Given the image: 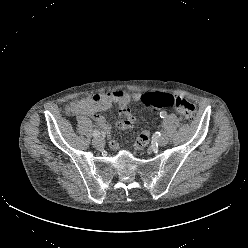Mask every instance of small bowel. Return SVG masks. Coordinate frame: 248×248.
<instances>
[{
	"label": "small bowel",
	"mask_w": 248,
	"mask_h": 248,
	"mask_svg": "<svg viewBox=\"0 0 248 248\" xmlns=\"http://www.w3.org/2000/svg\"><path fill=\"white\" fill-rule=\"evenodd\" d=\"M141 99L142 95L138 92L128 93L126 91L116 90L76 99L69 103L67 111L72 115H87L92 117L97 125H99L105 133H108L110 131V125L100 112L108 110L114 103L118 104L119 114L122 117L118 123V127L120 129H130L133 127L136 119L129 108V104L132 101H139ZM109 145L113 150L118 149V143L114 140L110 141ZM121 153L127 156L130 150L124 147Z\"/></svg>",
	"instance_id": "c3829d8e"
}]
</instances>
